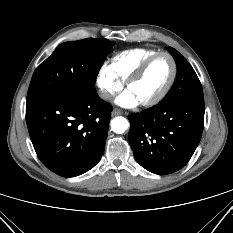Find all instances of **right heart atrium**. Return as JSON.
<instances>
[{
    "mask_svg": "<svg viewBox=\"0 0 233 233\" xmlns=\"http://www.w3.org/2000/svg\"><path fill=\"white\" fill-rule=\"evenodd\" d=\"M96 84L101 98L106 101L111 100L123 88V83L106 64L102 65L98 70Z\"/></svg>",
    "mask_w": 233,
    "mask_h": 233,
    "instance_id": "d8ad5b80",
    "label": "right heart atrium"
}]
</instances>
